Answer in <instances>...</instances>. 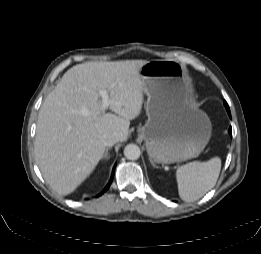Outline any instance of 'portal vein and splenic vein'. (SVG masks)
Listing matches in <instances>:
<instances>
[{
	"mask_svg": "<svg viewBox=\"0 0 261 254\" xmlns=\"http://www.w3.org/2000/svg\"><path fill=\"white\" fill-rule=\"evenodd\" d=\"M100 96L102 97V109L106 110L107 107L109 106V96L108 92L105 89H102L99 92Z\"/></svg>",
	"mask_w": 261,
	"mask_h": 254,
	"instance_id": "obj_1",
	"label": "portal vein and splenic vein"
}]
</instances>
